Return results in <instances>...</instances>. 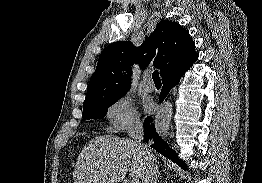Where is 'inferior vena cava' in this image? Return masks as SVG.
<instances>
[{"label": "inferior vena cava", "mask_w": 262, "mask_h": 183, "mask_svg": "<svg viewBox=\"0 0 262 183\" xmlns=\"http://www.w3.org/2000/svg\"><path fill=\"white\" fill-rule=\"evenodd\" d=\"M129 136L138 144L140 157L143 160L141 181L142 183H157L158 167L157 161L153 153L148 149L147 145L142 143L144 132L143 123L140 120H135L129 129Z\"/></svg>", "instance_id": "1"}]
</instances>
